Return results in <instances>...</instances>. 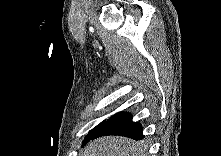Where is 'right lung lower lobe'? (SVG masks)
Masks as SVG:
<instances>
[{
    "instance_id": "98d812e1",
    "label": "right lung lower lobe",
    "mask_w": 221,
    "mask_h": 156,
    "mask_svg": "<svg viewBox=\"0 0 221 156\" xmlns=\"http://www.w3.org/2000/svg\"><path fill=\"white\" fill-rule=\"evenodd\" d=\"M105 135L125 136L134 140L144 138L141 124L133 122L132 115L125 112L115 114L105 121L92 140Z\"/></svg>"
}]
</instances>
